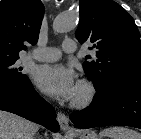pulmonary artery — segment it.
Segmentation results:
<instances>
[{
	"label": "pulmonary artery",
	"mask_w": 141,
	"mask_h": 139,
	"mask_svg": "<svg viewBox=\"0 0 141 139\" xmlns=\"http://www.w3.org/2000/svg\"><path fill=\"white\" fill-rule=\"evenodd\" d=\"M77 49L76 43L73 40H65L62 43V49L53 47L36 48L31 53V57L37 61H56L58 60L62 52L73 53Z\"/></svg>",
	"instance_id": "1"
}]
</instances>
